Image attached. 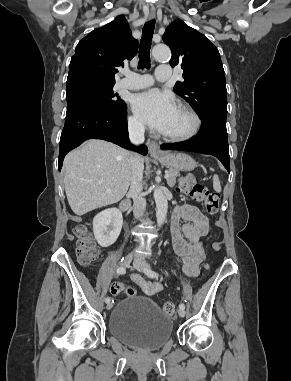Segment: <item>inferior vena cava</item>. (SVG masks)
<instances>
[{
    "label": "inferior vena cava",
    "instance_id": "inferior-vena-cava-1",
    "mask_svg": "<svg viewBox=\"0 0 291 381\" xmlns=\"http://www.w3.org/2000/svg\"><path fill=\"white\" fill-rule=\"evenodd\" d=\"M144 125L143 123L133 120L128 123V132L131 143L138 145L144 142ZM131 162V184L129 193L134 202V216L140 218L143 216L146 200L144 199L143 190V161L139 154H132Z\"/></svg>",
    "mask_w": 291,
    "mask_h": 381
}]
</instances>
